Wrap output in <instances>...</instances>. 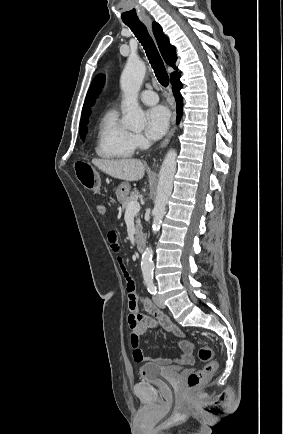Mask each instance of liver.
Instances as JSON below:
<instances>
[{
	"label": "liver",
	"instance_id": "obj_1",
	"mask_svg": "<svg viewBox=\"0 0 283 434\" xmlns=\"http://www.w3.org/2000/svg\"><path fill=\"white\" fill-rule=\"evenodd\" d=\"M92 163L104 173L130 182L142 179L145 172V165L137 159H93Z\"/></svg>",
	"mask_w": 283,
	"mask_h": 434
}]
</instances>
